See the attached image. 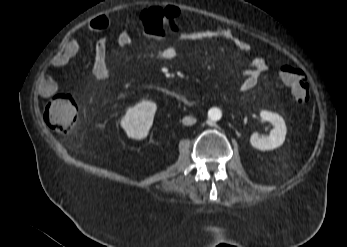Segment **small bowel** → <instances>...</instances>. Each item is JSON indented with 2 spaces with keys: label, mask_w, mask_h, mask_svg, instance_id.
Instances as JSON below:
<instances>
[{
  "label": "small bowel",
  "mask_w": 347,
  "mask_h": 247,
  "mask_svg": "<svg viewBox=\"0 0 347 247\" xmlns=\"http://www.w3.org/2000/svg\"><path fill=\"white\" fill-rule=\"evenodd\" d=\"M110 20L106 16H99L88 23L91 31H102L109 27ZM179 41H205V40H223L229 42L233 47L243 55H249L251 52L250 44L238 35L234 30L226 27H200L189 31H179L176 34ZM119 46L126 48L131 45V35L124 30L119 39ZM79 51V43L74 38L65 41L59 51L52 57L50 67L61 68L65 66ZM107 46L104 41L97 42L93 48L92 74L98 80H105L110 77V70L106 63ZM176 46L168 45L161 53L160 58L164 62H170L177 57ZM251 67L245 74L244 79L239 84L240 91L253 89L257 83L259 74L268 69L267 61L262 57H253L250 60ZM37 88L39 92L46 97L52 96L57 90V84L49 73H42L37 79Z\"/></svg>",
  "instance_id": "small-bowel-1"
}]
</instances>
